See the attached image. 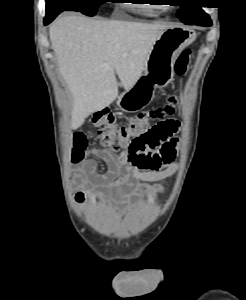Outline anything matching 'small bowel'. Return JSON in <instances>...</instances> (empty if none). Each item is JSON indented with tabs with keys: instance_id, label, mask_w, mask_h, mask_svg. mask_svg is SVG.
<instances>
[{
	"instance_id": "1",
	"label": "small bowel",
	"mask_w": 246,
	"mask_h": 300,
	"mask_svg": "<svg viewBox=\"0 0 246 300\" xmlns=\"http://www.w3.org/2000/svg\"><path fill=\"white\" fill-rule=\"evenodd\" d=\"M176 148V138L160 148L156 153L162 162L154 168L142 167L138 162L141 155L128 149L115 154L107 149L93 148L91 153L107 164L108 171L105 174L97 173V161L94 158L77 164L72 177V183L77 188L75 201L82 204L86 198L94 201L102 199L104 192L98 188L108 189L121 207L144 194L150 199L154 198L162 191V187L149 183L163 180L177 170Z\"/></svg>"
}]
</instances>
